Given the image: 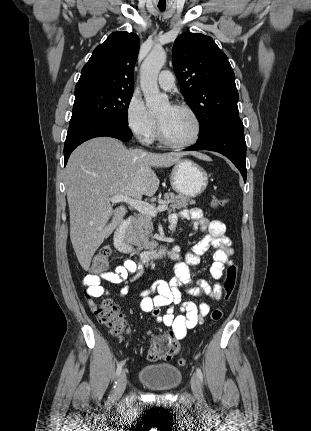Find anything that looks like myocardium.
Listing matches in <instances>:
<instances>
[{
    "label": "myocardium",
    "mask_w": 311,
    "mask_h": 431,
    "mask_svg": "<svg viewBox=\"0 0 311 431\" xmlns=\"http://www.w3.org/2000/svg\"><path fill=\"white\" fill-rule=\"evenodd\" d=\"M174 107L177 109L187 111L188 113H190L194 117L196 124H197V132H196L195 137L191 141L184 142V143L169 140L168 138L165 137V133H164L161 121L157 118V139L159 140V142L161 144L168 146V147H171V148L185 149V148L192 147L198 143V141L200 140V138L203 134V121H202L200 115L198 114V112L193 107H191L187 104H184V103L183 104H177Z\"/></svg>",
    "instance_id": "obj_1"
}]
</instances>
